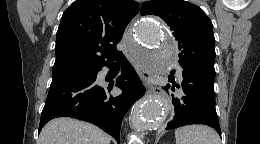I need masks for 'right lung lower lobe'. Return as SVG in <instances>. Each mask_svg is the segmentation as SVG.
Listing matches in <instances>:
<instances>
[{
  "mask_svg": "<svg viewBox=\"0 0 260 144\" xmlns=\"http://www.w3.org/2000/svg\"><path fill=\"white\" fill-rule=\"evenodd\" d=\"M117 59L122 63V75L108 86L99 84L96 78L102 67H110L113 61L90 67L84 76L51 83L39 131L49 120L68 116L93 123L119 143L122 119L131 105L143 96L145 89L123 53ZM113 85L122 89L121 95L109 94Z\"/></svg>",
  "mask_w": 260,
  "mask_h": 144,
  "instance_id": "right-lung-lower-lobe-1",
  "label": "right lung lower lobe"
}]
</instances>
